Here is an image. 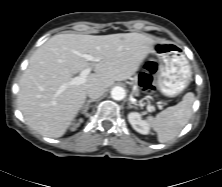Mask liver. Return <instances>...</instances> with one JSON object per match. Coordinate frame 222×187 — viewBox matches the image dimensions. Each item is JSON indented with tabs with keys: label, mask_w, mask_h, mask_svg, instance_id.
Returning a JSON list of instances; mask_svg holds the SVG:
<instances>
[{
	"label": "liver",
	"mask_w": 222,
	"mask_h": 187,
	"mask_svg": "<svg viewBox=\"0 0 222 187\" xmlns=\"http://www.w3.org/2000/svg\"><path fill=\"white\" fill-rule=\"evenodd\" d=\"M157 41L140 33L110 35L58 34L31 56L18 91V107L27 125L43 136L65 134L86 101L90 87L105 89L133 75ZM89 54L97 61H88ZM91 68L80 85L67 86L72 75Z\"/></svg>",
	"instance_id": "obj_1"
}]
</instances>
